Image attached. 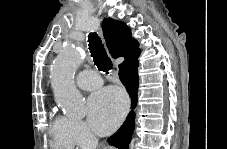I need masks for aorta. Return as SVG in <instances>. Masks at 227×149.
Segmentation results:
<instances>
[{"label":"aorta","mask_w":227,"mask_h":149,"mask_svg":"<svg viewBox=\"0 0 227 149\" xmlns=\"http://www.w3.org/2000/svg\"><path fill=\"white\" fill-rule=\"evenodd\" d=\"M80 62L79 50L67 45L51 66L54 99L63 112L72 117H83L85 114L84 98L74 84V76Z\"/></svg>","instance_id":"1"}]
</instances>
